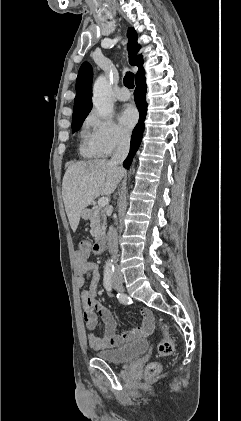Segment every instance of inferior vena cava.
Instances as JSON below:
<instances>
[{
  "label": "inferior vena cava",
  "mask_w": 241,
  "mask_h": 421,
  "mask_svg": "<svg viewBox=\"0 0 241 421\" xmlns=\"http://www.w3.org/2000/svg\"><path fill=\"white\" fill-rule=\"evenodd\" d=\"M130 148V137L128 135H121L118 138L115 151L113 153V156L110 160V163L114 166H121L123 161L128 155ZM107 245L109 253L112 257V262L115 264V271H114V277H122L120 268L117 265V255H118V236H117V230L111 225L109 227L108 233H107Z\"/></svg>",
  "instance_id": "obj_1"
}]
</instances>
